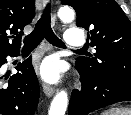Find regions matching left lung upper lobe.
Instances as JSON below:
<instances>
[{
    "mask_svg": "<svg viewBox=\"0 0 131 115\" xmlns=\"http://www.w3.org/2000/svg\"><path fill=\"white\" fill-rule=\"evenodd\" d=\"M77 14V26L89 31L94 57H78L75 65L103 79L131 82V23L114 0H62Z\"/></svg>",
    "mask_w": 131,
    "mask_h": 115,
    "instance_id": "obj_1",
    "label": "left lung upper lobe"
}]
</instances>
